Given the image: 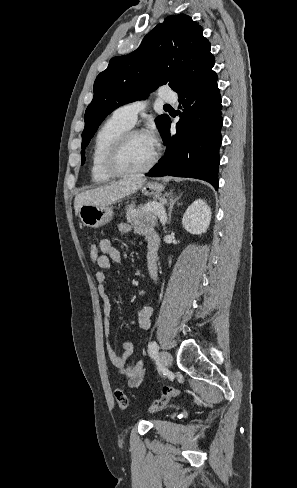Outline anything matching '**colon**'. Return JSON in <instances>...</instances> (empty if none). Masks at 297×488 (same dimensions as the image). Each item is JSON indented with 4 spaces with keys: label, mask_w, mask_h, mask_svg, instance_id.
<instances>
[{
    "label": "colon",
    "mask_w": 297,
    "mask_h": 488,
    "mask_svg": "<svg viewBox=\"0 0 297 488\" xmlns=\"http://www.w3.org/2000/svg\"><path fill=\"white\" fill-rule=\"evenodd\" d=\"M89 253H90V258L92 262H97L100 256V250L99 247L96 244H90L89 246ZM179 394V390L174 387H164L162 390V395L159 399H157L150 407H149V412L155 413L158 411H161L168 401L172 398L175 397ZM115 399L117 402L118 407L121 410H125L128 405H129V399L126 393L118 389L115 391Z\"/></svg>",
    "instance_id": "obj_1"
}]
</instances>
